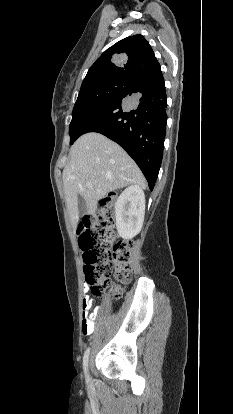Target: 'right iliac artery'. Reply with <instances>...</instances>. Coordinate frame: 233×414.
<instances>
[{
  "instance_id": "obj_1",
  "label": "right iliac artery",
  "mask_w": 233,
  "mask_h": 414,
  "mask_svg": "<svg viewBox=\"0 0 233 414\" xmlns=\"http://www.w3.org/2000/svg\"><path fill=\"white\" fill-rule=\"evenodd\" d=\"M89 354H90V348H87L85 353H84V357H83V368H84V373H85V377H86L87 382L89 381V375H88Z\"/></svg>"
}]
</instances>
